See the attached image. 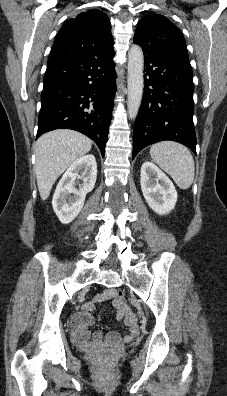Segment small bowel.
I'll list each match as a JSON object with an SVG mask.
<instances>
[{
    "mask_svg": "<svg viewBox=\"0 0 227 396\" xmlns=\"http://www.w3.org/2000/svg\"><path fill=\"white\" fill-rule=\"evenodd\" d=\"M117 291L115 289H106L98 294L92 301L87 302L83 306V311L72 316L71 324L75 328V340L82 346L89 349H97L103 344V336L96 331L90 337L88 327L93 323L91 312L95 308V304L112 300L114 307L117 309V318L123 321L127 333L121 337L118 332H110L106 336V343L109 345H116L121 339L124 341H131L139 335V326L137 325L134 314L124 302L117 298Z\"/></svg>",
    "mask_w": 227,
    "mask_h": 396,
    "instance_id": "small-bowel-1",
    "label": "small bowel"
}]
</instances>
